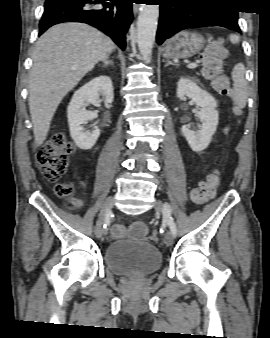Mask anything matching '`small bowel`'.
Here are the masks:
<instances>
[{
    "label": "small bowel",
    "instance_id": "small-bowel-1",
    "mask_svg": "<svg viewBox=\"0 0 270 338\" xmlns=\"http://www.w3.org/2000/svg\"><path fill=\"white\" fill-rule=\"evenodd\" d=\"M73 203L76 204L77 206H80L81 205V201L80 199L78 198H74L73 200ZM120 225L117 224L115 226V230H114V233L113 235L115 237L119 236L120 235ZM146 234H147V231H146V227L144 225V223L142 222H136L133 227H132V237L134 239H138V240H145L146 239Z\"/></svg>",
    "mask_w": 270,
    "mask_h": 338
}]
</instances>
